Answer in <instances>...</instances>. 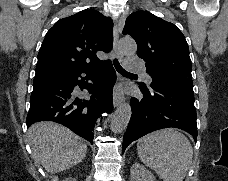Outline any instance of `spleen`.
I'll return each mask as SVG.
<instances>
[{"label":"spleen","instance_id":"obj_1","mask_svg":"<svg viewBox=\"0 0 228 181\" xmlns=\"http://www.w3.org/2000/svg\"><path fill=\"white\" fill-rule=\"evenodd\" d=\"M140 161L163 181H183L193 159V149L176 129H161L139 139Z\"/></svg>","mask_w":228,"mask_h":181}]
</instances>
